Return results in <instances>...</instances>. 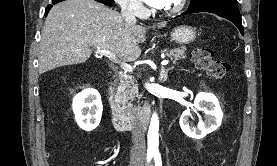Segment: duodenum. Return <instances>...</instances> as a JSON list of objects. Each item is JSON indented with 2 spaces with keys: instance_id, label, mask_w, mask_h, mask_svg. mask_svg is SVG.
<instances>
[{
  "instance_id": "410a0bca",
  "label": "duodenum",
  "mask_w": 277,
  "mask_h": 166,
  "mask_svg": "<svg viewBox=\"0 0 277 166\" xmlns=\"http://www.w3.org/2000/svg\"><path fill=\"white\" fill-rule=\"evenodd\" d=\"M106 102L109 110L110 119L114 127L118 130L146 129L150 117V106L147 105L138 116L124 111L106 92Z\"/></svg>"
}]
</instances>
